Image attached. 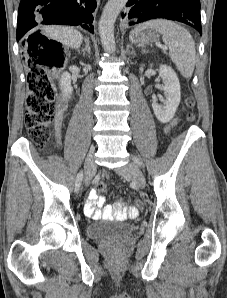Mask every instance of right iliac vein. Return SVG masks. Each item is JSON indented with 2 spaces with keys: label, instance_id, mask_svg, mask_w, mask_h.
<instances>
[{
  "label": "right iliac vein",
  "instance_id": "1",
  "mask_svg": "<svg viewBox=\"0 0 227 298\" xmlns=\"http://www.w3.org/2000/svg\"><path fill=\"white\" fill-rule=\"evenodd\" d=\"M94 170H95V164H94L93 154L89 153L85 160V174H86L87 182L91 180Z\"/></svg>",
  "mask_w": 227,
  "mask_h": 298
}]
</instances>
